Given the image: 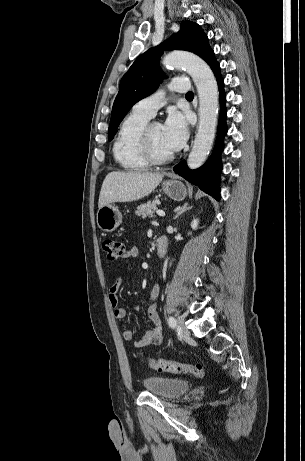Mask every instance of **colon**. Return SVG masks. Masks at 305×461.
I'll return each mask as SVG.
<instances>
[{
  "label": "colon",
  "instance_id": "5ec220e1",
  "mask_svg": "<svg viewBox=\"0 0 305 461\" xmlns=\"http://www.w3.org/2000/svg\"><path fill=\"white\" fill-rule=\"evenodd\" d=\"M102 248L110 260H117L124 254V243L115 239H105ZM148 365L159 371L174 374H188L201 378L205 375V370L201 364H182L165 359H149Z\"/></svg>",
  "mask_w": 305,
  "mask_h": 461
}]
</instances>
